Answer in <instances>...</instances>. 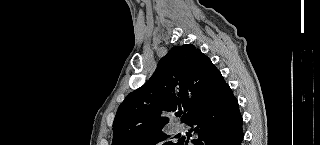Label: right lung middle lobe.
<instances>
[{
    "label": "right lung middle lobe",
    "instance_id": "dd1d6c3e",
    "mask_svg": "<svg viewBox=\"0 0 320 145\" xmlns=\"http://www.w3.org/2000/svg\"><path fill=\"white\" fill-rule=\"evenodd\" d=\"M132 145H178V142L169 141V135L165 134L162 130H158L147 134Z\"/></svg>",
    "mask_w": 320,
    "mask_h": 145
}]
</instances>
